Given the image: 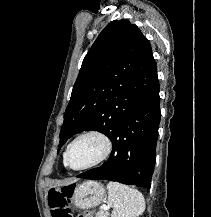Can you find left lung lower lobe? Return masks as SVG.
Returning <instances> with one entry per match:
<instances>
[{
  "label": "left lung lower lobe",
  "instance_id": "obj_1",
  "mask_svg": "<svg viewBox=\"0 0 211 217\" xmlns=\"http://www.w3.org/2000/svg\"><path fill=\"white\" fill-rule=\"evenodd\" d=\"M159 82L113 129V148L100 167L77 177L150 188L160 123Z\"/></svg>",
  "mask_w": 211,
  "mask_h": 217
}]
</instances>
